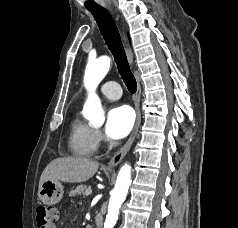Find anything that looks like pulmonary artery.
<instances>
[{
  "instance_id": "obj_1",
  "label": "pulmonary artery",
  "mask_w": 238,
  "mask_h": 228,
  "mask_svg": "<svg viewBox=\"0 0 238 228\" xmlns=\"http://www.w3.org/2000/svg\"><path fill=\"white\" fill-rule=\"evenodd\" d=\"M100 92L107 98L115 100L119 99L122 95L120 85L115 81H109L104 83L100 87Z\"/></svg>"
}]
</instances>
